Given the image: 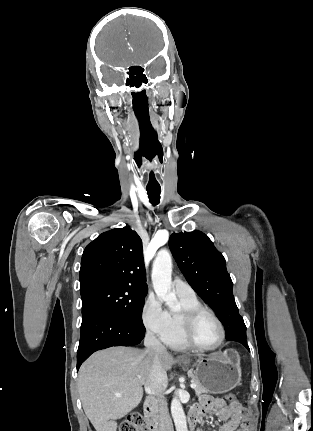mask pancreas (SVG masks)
I'll return each instance as SVG.
<instances>
[{"label": "pancreas", "instance_id": "pancreas-1", "mask_svg": "<svg viewBox=\"0 0 313 431\" xmlns=\"http://www.w3.org/2000/svg\"><path fill=\"white\" fill-rule=\"evenodd\" d=\"M189 376L191 377L192 382L196 384V388L194 390L197 396L207 392L205 388L199 383L197 378L193 375L192 371H189Z\"/></svg>", "mask_w": 313, "mask_h": 431}]
</instances>
